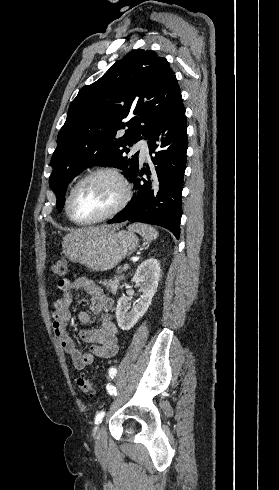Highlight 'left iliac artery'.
Wrapping results in <instances>:
<instances>
[{"mask_svg":"<svg viewBox=\"0 0 279 490\" xmlns=\"http://www.w3.org/2000/svg\"><path fill=\"white\" fill-rule=\"evenodd\" d=\"M109 373H110L111 375H115V374L117 373V370H116L115 368H111V369L109 370ZM107 390H108V392H109L110 394H114L115 396L117 395V393H116V388H115L114 386H112V385L108 384V385H107ZM104 416H105V412H104V411L99 412V413L96 415V417H95V424H96V425H98L99 423H101V422H102V419L104 418Z\"/></svg>","mask_w":279,"mask_h":490,"instance_id":"obj_1","label":"left iliac artery"}]
</instances>
